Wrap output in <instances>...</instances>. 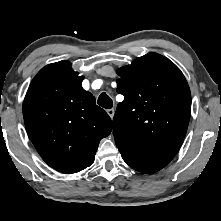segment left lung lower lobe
Listing matches in <instances>:
<instances>
[{
    "instance_id": "obj_1",
    "label": "left lung lower lobe",
    "mask_w": 221,
    "mask_h": 221,
    "mask_svg": "<svg viewBox=\"0 0 221 221\" xmlns=\"http://www.w3.org/2000/svg\"><path fill=\"white\" fill-rule=\"evenodd\" d=\"M123 160L132 168L142 173H154L165 167L168 163L144 158L130 148L117 144Z\"/></svg>"
}]
</instances>
